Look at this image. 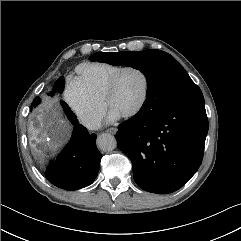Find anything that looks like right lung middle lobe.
Instances as JSON below:
<instances>
[{
    "label": "right lung middle lobe",
    "mask_w": 241,
    "mask_h": 241,
    "mask_svg": "<svg viewBox=\"0 0 241 241\" xmlns=\"http://www.w3.org/2000/svg\"><path fill=\"white\" fill-rule=\"evenodd\" d=\"M64 83H65L64 78L60 77V79L56 82V84L53 88V91L49 95L53 96L54 92L62 93L63 89H64ZM40 102H41V99L39 97H36L31 104V110L34 106L40 104ZM61 105H62L64 112L66 113L68 119L71 120V118L74 116V113H72L69 106L65 102L62 101Z\"/></svg>",
    "instance_id": "obj_1"
}]
</instances>
